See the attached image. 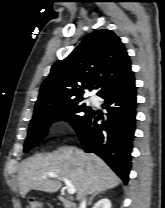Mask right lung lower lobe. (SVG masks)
<instances>
[{
  "label": "right lung lower lobe",
  "mask_w": 165,
  "mask_h": 208,
  "mask_svg": "<svg viewBox=\"0 0 165 208\" xmlns=\"http://www.w3.org/2000/svg\"><path fill=\"white\" fill-rule=\"evenodd\" d=\"M99 96L105 99V119L93 111L77 130L78 136L86 152L100 156L127 184L137 106L133 72ZM100 119L102 124L97 123Z\"/></svg>",
  "instance_id": "obj_1"
}]
</instances>
